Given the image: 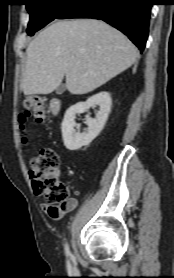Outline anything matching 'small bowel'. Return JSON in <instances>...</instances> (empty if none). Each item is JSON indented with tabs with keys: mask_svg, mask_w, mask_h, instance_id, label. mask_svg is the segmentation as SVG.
I'll use <instances>...</instances> for the list:
<instances>
[{
	"mask_svg": "<svg viewBox=\"0 0 174 278\" xmlns=\"http://www.w3.org/2000/svg\"><path fill=\"white\" fill-rule=\"evenodd\" d=\"M77 204V198L73 197L69 198L68 201L62 205H50L48 203H43L42 208L49 217L57 220L73 211L77 207Z\"/></svg>",
	"mask_w": 174,
	"mask_h": 278,
	"instance_id": "small-bowel-1",
	"label": "small bowel"
}]
</instances>
